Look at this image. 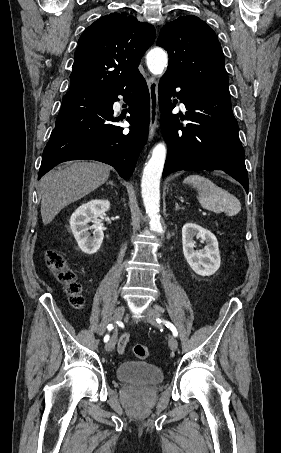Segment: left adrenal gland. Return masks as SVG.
Segmentation results:
<instances>
[{
  "mask_svg": "<svg viewBox=\"0 0 281 453\" xmlns=\"http://www.w3.org/2000/svg\"><path fill=\"white\" fill-rule=\"evenodd\" d=\"M180 206L178 204V202H175V210H179Z\"/></svg>",
  "mask_w": 281,
  "mask_h": 453,
  "instance_id": "1",
  "label": "left adrenal gland"
}]
</instances>
